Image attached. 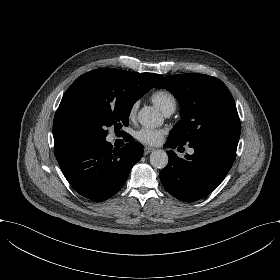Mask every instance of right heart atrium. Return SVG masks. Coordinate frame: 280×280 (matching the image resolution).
Here are the masks:
<instances>
[{
    "label": "right heart atrium",
    "mask_w": 280,
    "mask_h": 280,
    "mask_svg": "<svg viewBox=\"0 0 280 280\" xmlns=\"http://www.w3.org/2000/svg\"><path fill=\"white\" fill-rule=\"evenodd\" d=\"M136 114V104H132L128 110V118L133 119Z\"/></svg>",
    "instance_id": "1"
}]
</instances>
